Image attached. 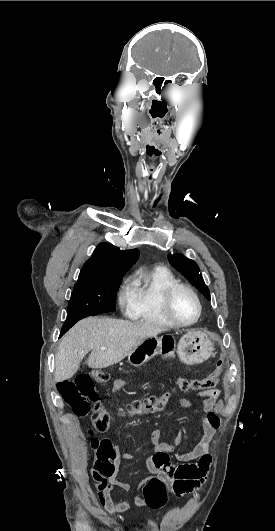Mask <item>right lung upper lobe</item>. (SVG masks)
<instances>
[{
    "instance_id": "obj_1",
    "label": "right lung upper lobe",
    "mask_w": 275,
    "mask_h": 531,
    "mask_svg": "<svg viewBox=\"0 0 275 531\" xmlns=\"http://www.w3.org/2000/svg\"><path fill=\"white\" fill-rule=\"evenodd\" d=\"M139 256L137 249L120 250L109 243H100L84 264L80 279L123 277Z\"/></svg>"
}]
</instances>
